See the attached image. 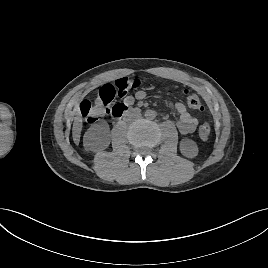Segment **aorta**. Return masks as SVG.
<instances>
[{
    "instance_id": "762f6f07",
    "label": "aorta",
    "mask_w": 268,
    "mask_h": 268,
    "mask_svg": "<svg viewBox=\"0 0 268 268\" xmlns=\"http://www.w3.org/2000/svg\"><path fill=\"white\" fill-rule=\"evenodd\" d=\"M145 117H146V119L152 120L156 117V112L153 110H147L145 112Z\"/></svg>"
}]
</instances>
